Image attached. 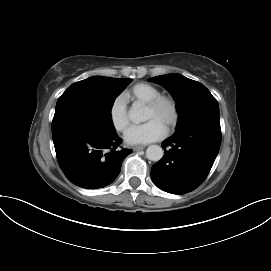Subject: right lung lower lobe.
Returning <instances> with one entry per match:
<instances>
[{
  "mask_svg": "<svg viewBox=\"0 0 271 271\" xmlns=\"http://www.w3.org/2000/svg\"><path fill=\"white\" fill-rule=\"evenodd\" d=\"M121 138L115 129L92 124L53 137L58 163L74 184L96 189L111 184L132 150H118Z\"/></svg>",
  "mask_w": 271,
  "mask_h": 271,
  "instance_id": "right-lung-lower-lobe-1",
  "label": "right lung lower lobe"
}]
</instances>
